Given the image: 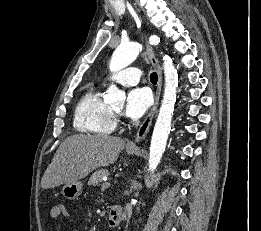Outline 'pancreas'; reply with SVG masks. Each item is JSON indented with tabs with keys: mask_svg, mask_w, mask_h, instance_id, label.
<instances>
[{
	"mask_svg": "<svg viewBox=\"0 0 261 231\" xmlns=\"http://www.w3.org/2000/svg\"><path fill=\"white\" fill-rule=\"evenodd\" d=\"M109 175V171L107 169H100L95 171L92 176L90 177L89 181H88V185H92V186H96L98 185L100 182H102V178L104 176H108Z\"/></svg>",
	"mask_w": 261,
	"mask_h": 231,
	"instance_id": "pancreas-1",
	"label": "pancreas"
}]
</instances>
